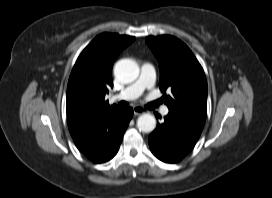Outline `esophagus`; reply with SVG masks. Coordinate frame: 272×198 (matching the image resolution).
<instances>
[{"instance_id":"1","label":"esophagus","mask_w":272,"mask_h":198,"mask_svg":"<svg viewBox=\"0 0 272 198\" xmlns=\"http://www.w3.org/2000/svg\"><path fill=\"white\" fill-rule=\"evenodd\" d=\"M133 112H134L135 116H138V115L144 114L146 111H145L144 108H142L140 106H134L133 107Z\"/></svg>"}]
</instances>
